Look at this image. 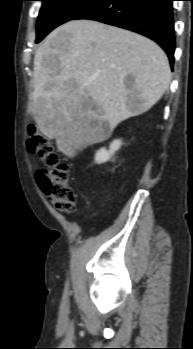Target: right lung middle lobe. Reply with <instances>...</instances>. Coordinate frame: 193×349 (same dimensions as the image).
Wrapping results in <instances>:
<instances>
[{"label":"right lung middle lobe","mask_w":193,"mask_h":349,"mask_svg":"<svg viewBox=\"0 0 193 349\" xmlns=\"http://www.w3.org/2000/svg\"><path fill=\"white\" fill-rule=\"evenodd\" d=\"M43 2L38 16L37 39L40 42L57 26L74 19L96 0H40Z\"/></svg>","instance_id":"right-lung-middle-lobe-1"}]
</instances>
